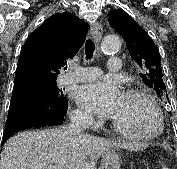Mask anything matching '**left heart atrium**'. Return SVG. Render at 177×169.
<instances>
[{"mask_svg":"<svg viewBox=\"0 0 177 169\" xmlns=\"http://www.w3.org/2000/svg\"><path fill=\"white\" fill-rule=\"evenodd\" d=\"M123 93L120 86L112 80L94 81L77 88V104L89 112L111 117L118 108Z\"/></svg>","mask_w":177,"mask_h":169,"instance_id":"1","label":"left heart atrium"}]
</instances>
